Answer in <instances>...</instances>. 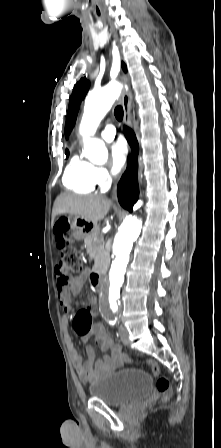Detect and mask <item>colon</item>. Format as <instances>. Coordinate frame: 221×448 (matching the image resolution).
<instances>
[{"instance_id":"5ec220e1","label":"colon","mask_w":221,"mask_h":448,"mask_svg":"<svg viewBox=\"0 0 221 448\" xmlns=\"http://www.w3.org/2000/svg\"><path fill=\"white\" fill-rule=\"evenodd\" d=\"M54 231L56 233L57 239L60 240L62 244H64V249L61 258L59 259L57 264L56 280L58 290H65L67 287L71 285L70 275L71 273L76 272L79 269V262L77 253L71 245L72 235L68 220H66L65 218L59 219L55 224ZM91 307H93L92 304H90V308ZM88 327L89 324L87 328ZM123 359L124 362L127 363H143L141 361L134 360L129 355H124ZM144 363L150 367L151 373L154 376H158L159 367L156 362L146 361ZM155 385L156 390L160 394L162 401L164 402L169 401L171 398V384L168 378L164 376L158 377Z\"/></svg>"}]
</instances>
